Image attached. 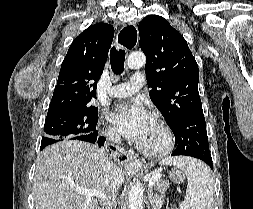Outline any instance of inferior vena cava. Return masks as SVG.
I'll return each mask as SVG.
<instances>
[{"mask_svg": "<svg viewBox=\"0 0 253 209\" xmlns=\"http://www.w3.org/2000/svg\"><path fill=\"white\" fill-rule=\"evenodd\" d=\"M107 136L110 141H113L114 143H121V137L116 131H110ZM120 185V170L109 163L106 167V186L107 194L109 195L110 200L115 201L116 192Z\"/></svg>", "mask_w": 253, "mask_h": 209, "instance_id": "inferior-vena-cava-1", "label": "inferior vena cava"}]
</instances>
